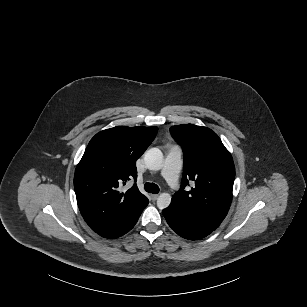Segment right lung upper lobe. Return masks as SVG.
Here are the masks:
<instances>
[{
	"label": "right lung upper lobe",
	"mask_w": 307,
	"mask_h": 307,
	"mask_svg": "<svg viewBox=\"0 0 307 307\" xmlns=\"http://www.w3.org/2000/svg\"><path fill=\"white\" fill-rule=\"evenodd\" d=\"M158 128L117 126L97 133L76 167L74 189L80 212L99 233L125 219L148 199L134 185L125 193L120 185L137 178L136 160Z\"/></svg>",
	"instance_id": "obj_1"
}]
</instances>
